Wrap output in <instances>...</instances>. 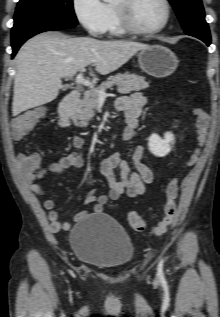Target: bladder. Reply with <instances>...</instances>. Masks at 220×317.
I'll return each mask as SVG.
<instances>
[{
	"mask_svg": "<svg viewBox=\"0 0 220 317\" xmlns=\"http://www.w3.org/2000/svg\"><path fill=\"white\" fill-rule=\"evenodd\" d=\"M70 245L81 263L111 271L128 266L135 253L125 229L102 213L88 215L75 224Z\"/></svg>",
	"mask_w": 220,
	"mask_h": 317,
	"instance_id": "31cf9c89",
	"label": "bladder"
}]
</instances>
